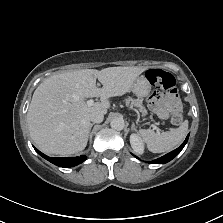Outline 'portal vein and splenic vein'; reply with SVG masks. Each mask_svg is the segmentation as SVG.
Returning a JSON list of instances; mask_svg holds the SVG:
<instances>
[{"instance_id":"portal-vein-and-splenic-vein-1","label":"portal vein and splenic vein","mask_w":223,"mask_h":223,"mask_svg":"<svg viewBox=\"0 0 223 223\" xmlns=\"http://www.w3.org/2000/svg\"><path fill=\"white\" fill-rule=\"evenodd\" d=\"M93 103H94V100L90 99V100L87 101V106L91 107L93 105ZM145 125L146 126H149L150 125V122L149 121H146L145 122ZM152 127L153 128H156L157 127V124L156 123H153L152 124Z\"/></svg>"}]
</instances>
